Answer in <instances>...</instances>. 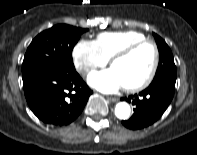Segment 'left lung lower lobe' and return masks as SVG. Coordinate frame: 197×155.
I'll return each mask as SVG.
<instances>
[{"mask_svg":"<svg viewBox=\"0 0 197 155\" xmlns=\"http://www.w3.org/2000/svg\"><path fill=\"white\" fill-rule=\"evenodd\" d=\"M175 91V84L166 81L152 82L138 95L125 98L135 106L134 115L122 124L129 129H142L153 124L169 106ZM123 100V99H121Z\"/></svg>","mask_w":197,"mask_h":155,"instance_id":"0a47b994","label":"left lung lower lobe"}]
</instances>
